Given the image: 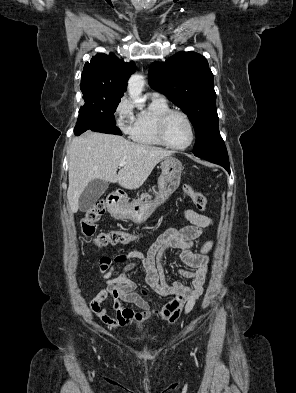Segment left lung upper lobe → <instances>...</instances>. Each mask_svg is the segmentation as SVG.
<instances>
[{"instance_id": "obj_1", "label": "left lung upper lobe", "mask_w": 296, "mask_h": 393, "mask_svg": "<svg viewBox=\"0 0 296 393\" xmlns=\"http://www.w3.org/2000/svg\"><path fill=\"white\" fill-rule=\"evenodd\" d=\"M149 84L190 117L196 132L195 156L227 153L219 133L213 74L204 56L179 52L165 62H154Z\"/></svg>"}]
</instances>
